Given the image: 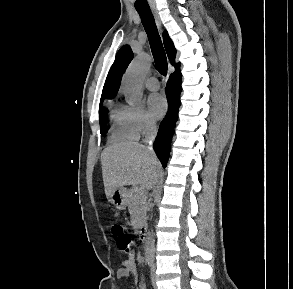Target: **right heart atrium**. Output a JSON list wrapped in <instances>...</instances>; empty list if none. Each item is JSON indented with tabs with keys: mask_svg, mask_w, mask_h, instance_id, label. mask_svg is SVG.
I'll return each instance as SVG.
<instances>
[{
	"mask_svg": "<svg viewBox=\"0 0 293 289\" xmlns=\"http://www.w3.org/2000/svg\"><path fill=\"white\" fill-rule=\"evenodd\" d=\"M132 114L138 134L148 135L155 129L154 119L143 107H133Z\"/></svg>",
	"mask_w": 293,
	"mask_h": 289,
	"instance_id": "1",
	"label": "right heart atrium"
}]
</instances>
